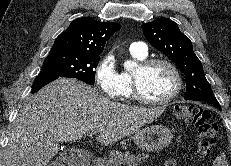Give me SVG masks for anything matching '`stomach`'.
Here are the masks:
<instances>
[{
  "label": "stomach",
  "mask_w": 231,
  "mask_h": 166,
  "mask_svg": "<svg viewBox=\"0 0 231 166\" xmlns=\"http://www.w3.org/2000/svg\"><path fill=\"white\" fill-rule=\"evenodd\" d=\"M173 139L171 130L164 125H151L134 133L137 147L145 151H158L167 147Z\"/></svg>",
  "instance_id": "0dacf381"
}]
</instances>
